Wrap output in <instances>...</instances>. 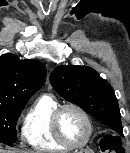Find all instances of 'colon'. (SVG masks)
<instances>
[{"label":"colon","mask_w":130,"mask_h":153,"mask_svg":"<svg viewBox=\"0 0 130 153\" xmlns=\"http://www.w3.org/2000/svg\"><path fill=\"white\" fill-rule=\"evenodd\" d=\"M101 151L102 153H123V148L117 138L108 135L102 139Z\"/></svg>","instance_id":"1"}]
</instances>
